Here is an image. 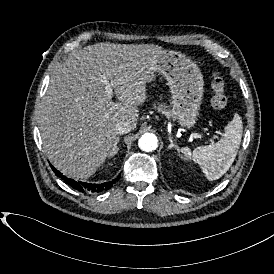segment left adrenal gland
Returning a JSON list of instances; mask_svg holds the SVG:
<instances>
[{"mask_svg":"<svg viewBox=\"0 0 274 274\" xmlns=\"http://www.w3.org/2000/svg\"><path fill=\"white\" fill-rule=\"evenodd\" d=\"M168 141L170 142V145L168 146V149H175L176 150V154L179 156L180 155V150L177 146H175L173 144V140L172 138H168Z\"/></svg>","mask_w":274,"mask_h":274,"instance_id":"1","label":"left adrenal gland"}]
</instances>
